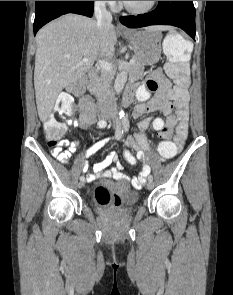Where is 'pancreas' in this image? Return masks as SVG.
Listing matches in <instances>:
<instances>
[{
  "label": "pancreas",
  "instance_id": "1",
  "mask_svg": "<svg viewBox=\"0 0 233 295\" xmlns=\"http://www.w3.org/2000/svg\"><path fill=\"white\" fill-rule=\"evenodd\" d=\"M131 72L135 78H141L144 75V65L136 58L131 66ZM113 77L114 72L101 70L98 75L90 80V93L94 94L99 100H103L108 92Z\"/></svg>",
  "mask_w": 233,
  "mask_h": 295
}]
</instances>
